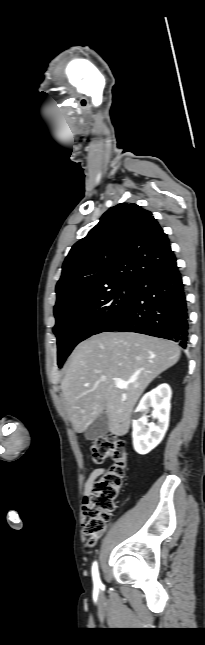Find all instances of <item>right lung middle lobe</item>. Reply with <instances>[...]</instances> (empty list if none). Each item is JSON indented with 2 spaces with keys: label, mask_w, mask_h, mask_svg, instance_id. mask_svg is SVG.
<instances>
[{
  "label": "right lung middle lobe",
  "mask_w": 205,
  "mask_h": 645,
  "mask_svg": "<svg viewBox=\"0 0 205 645\" xmlns=\"http://www.w3.org/2000/svg\"><path fill=\"white\" fill-rule=\"evenodd\" d=\"M135 285L126 284L89 295L55 314L58 366L86 338L101 333L133 302Z\"/></svg>",
  "instance_id": "1"
}]
</instances>
